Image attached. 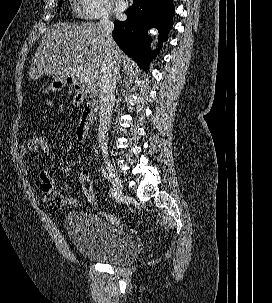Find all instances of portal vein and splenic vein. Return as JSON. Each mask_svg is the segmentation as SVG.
<instances>
[{"mask_svg": "<svg viewBox=\"0 0 272 303\" xmlns=\"http://www.w3.org/2000/svg\"><path fill=\"white\" fill-rule=\"evenodd\" d=\"M77 77L79 78L80 83L88 82V77L85 74L78 73Z\"/></svg>", "mask_w": 272, "mask_h": 303, "instance_id": "18ae733b", "label": "portal vein and splenic vein"}]
</instances>
